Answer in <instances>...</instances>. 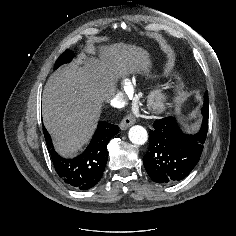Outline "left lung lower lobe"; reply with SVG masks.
Instances as JSON below:
<instances>
[{"label":"left lung lower lobe","instance_id":"0a47b994","mask_svg":"<svg viewBox=\"0 0 236 236\" xmlns=\"http://www.w3.org/2000/svg\"><path fill=\"white\" fill-rule=\"evenodd\" d=\"M196 134L184 133L175 118L154 122L144 167L154 182L173 184L184 179L198 163L208 132V113Z\"/></svg>","mask_w":236,"mask_h":236}]
</instances>
